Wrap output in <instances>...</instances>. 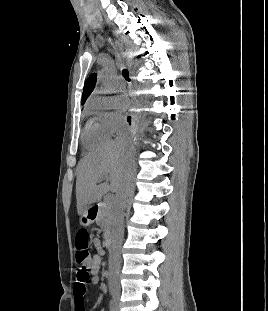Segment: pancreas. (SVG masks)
<instances>
[{
  "label": "pancreas",
  "mask_w": 268,
  "mask_h": 311,
  "mask_svg": "<svg viewBox=\"0 0 268 311\" xmlns=\"http://www.w3.org/2000/svg\"><path fill=\"white\" fill-rule=\"evenodd\" d=\"M113 200L106 199L100 206L99 215L96 219V224L100 226L103 231L104 237L106 238L111 230L112 218H113Z\"/></svg>",
  "instance_id": "pancreas-1"
}]
</instances>
